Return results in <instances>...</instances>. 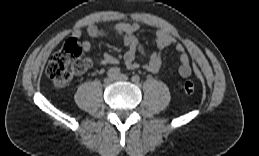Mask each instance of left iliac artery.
<instances>
[{"label":"left iliac artery","mask_w":259,"mask_h":156,"mask_svg":"<svg viewBox=\"0 0 259 156\" xmlns=\"http://www.w3.org/2000/svg\"><path fill=\"white\" fill-rule=\"evenodd\" d=\"M132 81L138 83L140 81V77L138 75L132 76Z\"/></svg>","instance_id":"44dca946"}]
</instances>
